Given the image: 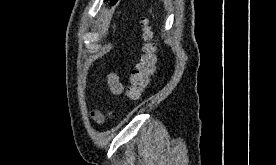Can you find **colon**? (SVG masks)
<instances>
[{
	"mask_svg": "<svg viewBox=\"0 0 276 165\" xmlns=\"http://www.w3.org/2000/svg\"><path fill=\"white\" fill-rule=\"evenodd\" d=\"M143 45L138 63L133 69L130 77V85L127 89L126 96L131 101L138 100L156 70L157 54L156 46L153 42V33L146 18L141 19Z\"/></svg>",
	"mask_w": 276,
	"mask_h": 165,
	"instance_id": "colon-1",
	"label": "colon"
}]
</instances>
